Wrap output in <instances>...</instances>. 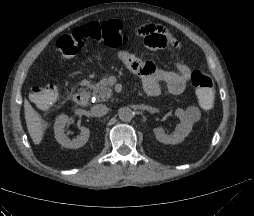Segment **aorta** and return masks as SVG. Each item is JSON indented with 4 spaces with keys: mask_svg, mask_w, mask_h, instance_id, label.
<instances>
[{
    "mask_svg": "<svg viewBox=\"0 0 254 216\" xmlns=\"http://www.w3.org/2000/svg\"><path fill=\"white\" fill-rule=\"evenodd\" d=\"M119 119L123 122H129L132 120L134 113L129 107H122L118 111Z\"/></svg>",
    "mask_w": 254,
    "mask_h": 216,
    "instance_id": "762f6f07",
    "label": "aorta"
}]
</instances>
